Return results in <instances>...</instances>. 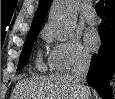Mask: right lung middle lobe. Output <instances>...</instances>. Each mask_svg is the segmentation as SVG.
<instances>
[{"instance_id":"dd1d6c3e","label":"right lung middle lobe","mask_w":115,"mask_h":99,"mask_svg":"<svg viewBox=\"0 0 115 99\" xmlns=\"http://www.w3.org/2000/svg\"><path fill=\"white\" fill-rule=\"evenodd\" d=\"M37 36H38V34H32V35L27 36L24 46H23V50L20 55V60L18 63L17 70L22 69L26 65L29 55H30V52H31V48H32L33 43H34L35 39L37 38Z\"/></svg>"}]
</instances>
